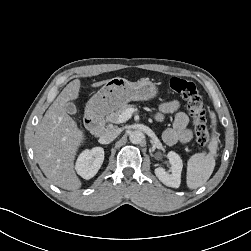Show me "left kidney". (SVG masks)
Wrapping results in <instances>:
<instances>
[{"mask_svg": "<svg viewBox=\"0 0 251 251\" xmlns=\"http://www.w3.org/2000/svg\"><path fill=\"white\" fill-rule=\"evenodd\" d=\"M168 159L171 164V174L167 173L163 168H156L155 175L158 179L168 187L178 188L181 183V172L183 168V162L180 156L170 151L168 153Z\"/></svg>", "mask_w": 251, "mask_h": 251, "instance_id": "5707ae66", "label": "left kidney"}]
</instances>
